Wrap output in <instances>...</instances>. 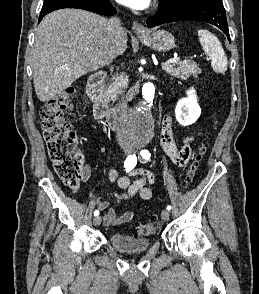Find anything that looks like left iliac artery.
<instances>
[{
  "mask_svg": "<svg viewBox=\"0 0 259 294\" xmlns=\"http://www.w3.org/2000/svg\"><path fill=\"white\" fill-rule=\"evenodd\" d=\"M140 155H141V157H142L143 160H149L150 157H151V154L149 153L148 150H141L140 151ZM167 210L168 211L171 210V206L170 205L167 206Z\"/></svg>",
  "mask_w": 259,
  "mask_h": 294,
  "instance_id": "left-iliac-artery-1",
  "label": "left iliac artery"
}]
</instances>
